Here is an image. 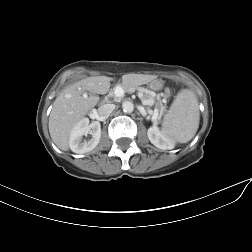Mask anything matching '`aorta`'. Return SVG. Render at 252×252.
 Masks as SVG:
<instances>
[{"label":"aorta","instance_id":"obj_1","mask_svg":"<svg viewBox=\"0 0 252 252\" xmlns=\"http://www.w3.org/2000/svg\"><path fill=\"white\" fill-rule=\"evenodd\" d=\"M122 109L125 113H132L134 110V105L130 101H124L122 103Z\"/></svg>","mask_w":252,"mask_h":252}]
</instances>
